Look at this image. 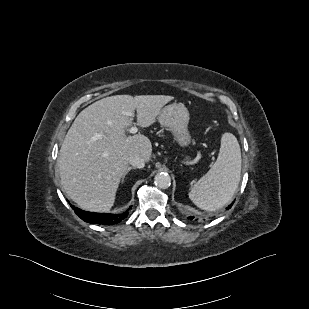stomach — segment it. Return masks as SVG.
<instances>
[{"label": "stomach", "mask_w": 309, "mask_h": 309, "mask_svg": "<svg viewBox=\"0 0 309 309\" xmlns=\"http://www.w3.org/2000/svg\"><path fill=\"white\" fill-rule=\"evenodd\" d=\"M189 111L180 103H173L161 109L158 121L162 126L168 127L174 136V140L180 147H188L192 138L188 130ZM190 157L186 156L185 160Z\"/></svg>", "instance_id": "0dacf381"}]
</instances>
